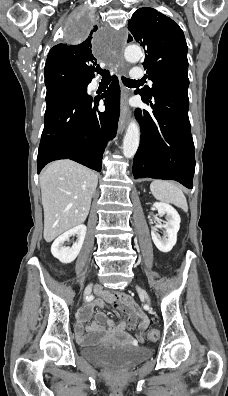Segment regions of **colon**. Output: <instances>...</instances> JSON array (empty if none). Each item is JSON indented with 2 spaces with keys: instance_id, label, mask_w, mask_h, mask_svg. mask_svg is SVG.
Instances as JSON below:
<instances>
[{
  "instance_id": "colon-1",
  "label": "colon",
  "mask_w": 228,
  "mask_h": 396,
  "mask_svg": "<svg viewBox=\"0 0 228 396\" xmlns=\"http://www.w3.org/2000/svg\"><path fill=\"white\" fill-rule=\"evenodd\" d=\"M146 337L149 341H156L159 337V333L156 329H151L147 332Z\"/></svg>"
}]
</instances>
